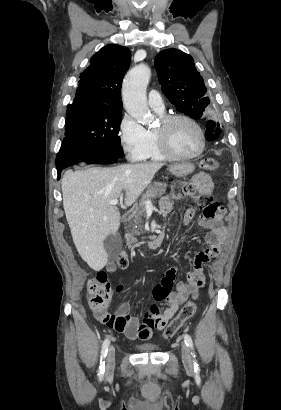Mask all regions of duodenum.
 I'll use <instances>...</instances> for the list:
<instances>
[{"instance_id":"1","label":"duodenum","mask_w":281,"mask_h":410,"mask_svg":"<svg viewBox=\"0 0 281 410\" xmlns=\"http://www.w3.org/2000/svg\"><path fill=\"white\" fill-rule=\"evenodd\" d=\"M133 216H134V211L128 210L127 212L124 213L122 220L123 222H128L133 218ZM163 240H164V236L163 234H160L157 238L153 240L143 242L142 245L146 248L156 250L162 245ZM131 246L134 247L135 243H132Z\"/></svg>"}]
</instances>
